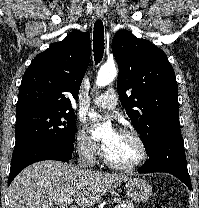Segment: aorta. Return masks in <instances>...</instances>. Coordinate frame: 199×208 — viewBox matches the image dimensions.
<instances>
[{
    "mask_svg": "<svg viewBox=\"0 0 199 208\" xmlns=\"http://www.w3.org/2000/svg\"><path fill=\"white\" fill-rule=\"evenodd\" d=\"M117 75V69L115 64H104L100 70L98 71L96 78V85L98 87H104L111 83ZM90 116H96L95 113H90ZM108 126L106 124H98V126L93 131V135L100 136L108 130Z\"/></svg>",
    "mask_w": 199,
    "mask_h": 208,
    "instance_id": "1",
    "label": "aorta"
}]
</instances>
